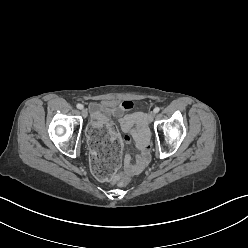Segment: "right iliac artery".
<instances>
[{
	"mask_svg": "<svg viewBox=\"0 0 248 248\" xmlns=\"http://www.w3.org/2000/svg\"><path fill=\"white\" fill-rule=\"evenodd\" d=\"M77 108L78 109H83V105L82 104H77Z\"/></svg>",
	"mask_w": 248,
	"mask_h": 248,
	"instance_id": "right-iliac-artery-1",
	"label": "right iliac artery"
}]
</instances>
